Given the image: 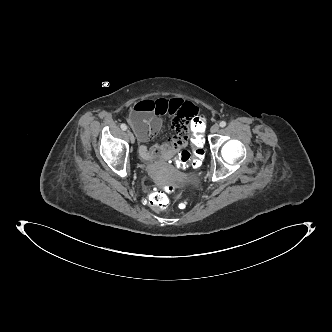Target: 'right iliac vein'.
<instances>
[{
    "instance_id": "63e3f726",
    "label": "right iliac vein",
    "mask_w": 332,
    "mask_h": 332,
    "mask_svg": "<svg viewBox=\"0 0 332 332\" xmlns=\"http://www.w3.org/2000/svg\"><path fill=\"white\" fill-rule=\"evenodd\" d=\"M126 134H127L128 139L130 140V142L134 143L135 137H134L133 133L130 130H127Z\"/></svg>"
}]
</instances>
